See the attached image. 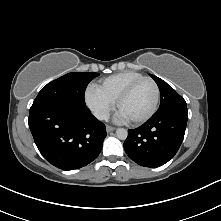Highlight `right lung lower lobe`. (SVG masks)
Here are the masks:
<instances>
[{
	"label": "right lung lower lobe",
	"mask_w": 221,
	"mask_h": 221,
	"mask_svg": "<svg viewBox=\"0 0 221 221\" xmlns=\"http://www.w3.org/2000/svg\"><path fill=\"white\" fill-rule=\"evenodd\" d=\"M28 123L40 153L62 170L91 163L107 135L105 125L85 104L72 102L49 103L30 110Z\"/></svg>",
	"instance_id": "98d812e1"
}]
</instances>
